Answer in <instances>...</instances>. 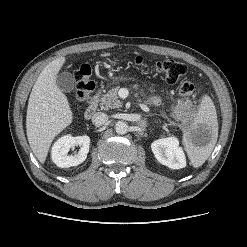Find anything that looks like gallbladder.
I'll list each match as a JSON object with an SVG mask.
<instances>
[{
    "instance_id": "1",
    "label": "gallbladder",
    "mask_w": 247,
    "mask_h": 247,
    "mask_svg": "<svg viewBox=\"0 0 247 247\" xmlns=\"http://www.w3.org/2000/svg\"><path fill=\"white\" fill-rule=\"evenodd\" d=\"M56 84L61 91L70 93L75 88L74 76L69 72H62L56 77Z\"/></svg>"
}]
</instances>
